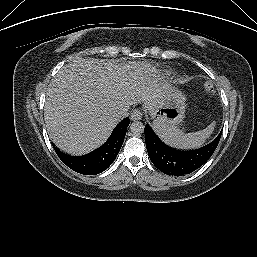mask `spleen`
Returning <instances> with one entry per match:
<instances>
[{
	"instance_id": "obj_1",
	"label": "spleen",
	"mask_w": 257,
	"mask_h": 257,
	"mask_svg": "<svg viewBox=\"0 0 257 257\" xmlns=\"http://www.w3.org/2000/svg\"><path fill=\"white\" fill-rule=\"evenodd\" d=\"M153 127L165 144L178 149H193L200 147L210 137L215 128V122L209 124L205 129L193 133H183L175 126L160 127L153 124Z\"/></svg>"
}]
</instances>
